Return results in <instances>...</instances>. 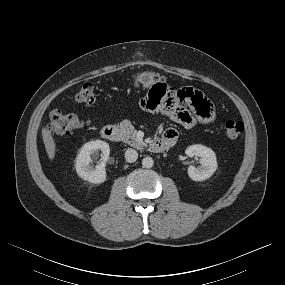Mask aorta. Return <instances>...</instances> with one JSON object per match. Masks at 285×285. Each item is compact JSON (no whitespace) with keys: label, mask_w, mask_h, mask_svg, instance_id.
<instances>
[{"label":"aorta","mask_w":285,"mask_h":285,"mask_svg":"<svg viewBox=\"0 0 285 285\" xmlns=\"http://www.w3.org/2000/svg\"><path fill=\"white\" fill-rule=\"evenodd\" d=\"M142 165L144 168H152L154 165V160L151 157H145L142 160Z\"/></svg>","instance_id":"762f6f07"}]
</instances>
